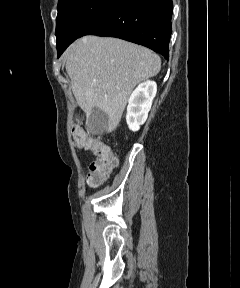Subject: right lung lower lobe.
Here are the masks:
<instances>
[{
	"label": "right lung lower lobe",
	"mask_w": 240,
	"mask_h": 288,
	"mask_svg": "<svg viewBox=\"0 0 240 288\" xmlns=\"http://www.w3.org/2000/svg\"><path fill=\"white\" fill-rule=\"evenodd\" d=\"M172 12V0H113L80 37L92 34L121 38L168 59Z\"/></svg>",
	"instance_id": "98d812e1"
}]
</instances>
